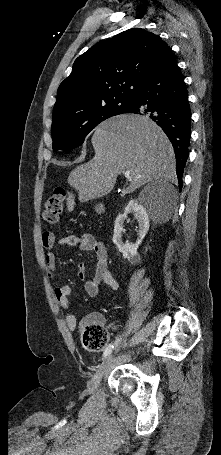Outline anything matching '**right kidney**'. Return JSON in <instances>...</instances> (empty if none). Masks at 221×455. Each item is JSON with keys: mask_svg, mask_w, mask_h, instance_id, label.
<instances>
[{"mask_svg": "<svg viewBox=\"0 0 221 455\" xmlns=\"http://www.w3.org/2000/svg\"><path fill=\"white\" fill-rule=\"evenodd\" d=\"M129 213H133L139 223L138 232L140 239L135 244H124L121 239L123 224ZM149 226V217L147 211L137 199L131 200L126 206L124 213L119 215L115 220L113 243L117 246L119 252L123 254V257L132 263L140 259L137 253V249L147 234Z\"/></svg>", "mask_w": 221, "mask_h": 455, "instance_id": "1", "label": "right kidney"}]
</instances>
